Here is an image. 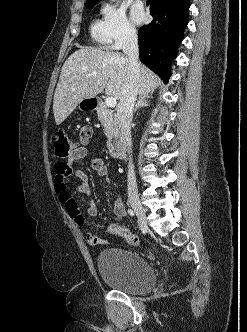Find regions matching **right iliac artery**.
I'll use <instances>...</instances> for the list:
<instances>
[{"mask_svg":"<svg viewBox=\"0 0 247 332\" xmlns=\"http://www.w3.org/2000/svg\"><path fill=\"white\" fill-rule=\"evenodd\" d=\"M128 213H129L130 216H134L135 215V213H134V211L132 209H128Z\"/></svg>","mask_w":247,"mask_h":332,"instance_id":"1","label":"right iliac artery"}]
</instances>
